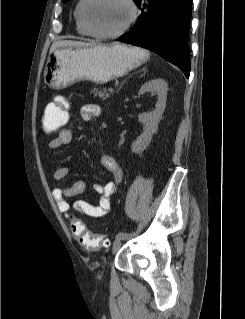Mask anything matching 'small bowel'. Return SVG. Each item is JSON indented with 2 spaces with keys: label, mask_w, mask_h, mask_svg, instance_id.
Instances as JSON below:
<instances>
[{
  "label": "small bowel",
  "mask_w": 245,
  "mask_h": 319,
  "mask_svg": "<svg viewBox=\"0 0 245 319\" xmlns=\"http://www.w3.org/2000/svg\"><path fill=\"white\" fill-rule=\"evenodd\" d=\"M58 100H60V98L56 99L55 102L50 103L47 107L55 104ZM100 115L101 109L96 104H86L81 109V117L87 122L96 120ZM72 137V129L64 128L50 141L49 148L54 151L58 150L61 147L68 145L72 141ZM100 162L102 167L112 174V179L95 186V189L101 193L98 204H92L83 199H78L73 203V209L82 215L90 217H101L105 215L111 206L110 198L117 192L122 181V170L111 155H101ZM68 173L69 169L66 166H59L55 169L53 177L55 180L61 181L67 177ZM84 189L85 183L81 180L76 181L70 187L57 186L53 190V197L60 213L68 214L71 207L67 198L81 194Z\"/></svg>",
  "instance_id": "obj_1"
}]
</instances>
